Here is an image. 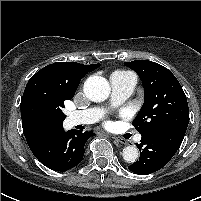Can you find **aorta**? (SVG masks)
<instances>
[{
	"label": "aorta",
	"instance_id": "obj_1",
	"mask_svg": "<svg viewBox=\"0 0 201 201\" xmlns=\"http://www.w3.org/2000/svg\"><path fill=\"white\" fill-rule=\"evenodd\" d=\"M84 92L91 101H104L110 94V85L104 77L90 76L84 83ZM138 156V149L134 146H127L123 149V159L126 162H135Z\"/></svg>",
	"mask_w": 201,
	"mask_h": 201
}]
</instances>
